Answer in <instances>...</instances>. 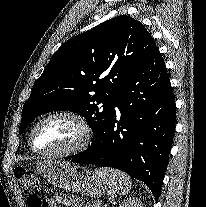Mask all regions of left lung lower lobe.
<instances>
[{"mask_svg": "<svg viewBox=\"0 0 206 207\" xmlns=\"http://www.w3.org/2000/svg\"><path fill=\"white\" fill-rule=\"evenodd\" d=\"M175 109L157 48L116 94L95 143L72 156L71 162L122 170L143 181L158 200L175 131Z\"/></svg>", "mask_w": 206, "mask_h": 207, "instance_id": "1", "label": "left lung lower lobe"}]
</instances>
